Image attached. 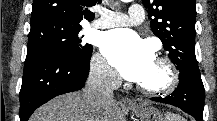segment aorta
Listing matches in <instances>:
<instances>
[{
    "label": "aorta",
    "instance_id": "aorta-1",
    "mask_svg": "<svg viewBox=\"0 0 217 121\" xmlns=\"http://www.w3.org/2000/svg\"><path fill=\"white\" fill-rule=\"evenodd\" d=\"M122 1L127 2V1H129V0H122Z\"/></svg>",
    "mask_w": 217,
    "mask_h": 121
}]
</instances>
